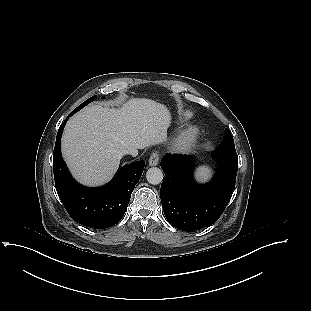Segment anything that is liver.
<instances>
[{
  "mask_svg": "<svg viewBox=\"0 0 311 311\" xmlns=\"http://www.w3.org/2000/svg\"><path fill=\"white\" fill-rule=\"evenodd\" d=\"M170 123L167 107L146 98H131L119 109L87 106L67 122L62 155L79 182L102 185L124 155L164 142Z\"/></svg>",
  "mask_w": 311,
  "mask_h": 311,
  "instance_id": "6515ba94",
  "label": "liver"
}]
</instances>
